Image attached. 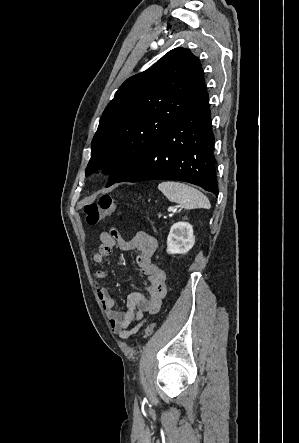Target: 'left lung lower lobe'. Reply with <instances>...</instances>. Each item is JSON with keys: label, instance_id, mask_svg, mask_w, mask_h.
I'll list each match as a JSON object with an SVG mask.
<instances>
[{"label": "left lung lower lobe", "instance_id": "left-lung-lower-lobe-1", "mask_svg": "<svg viewBox=\"0 0 299 443\" xmlns=\"http://www.w3.org/2000/svg\"><path fill=\"white\" fill-rule=\"evenodd\" d=\"M214 136L207 92L183 114L118 182L171 179L218 195Z\"/></svg>", "mask_w": 299, "mask_h": 443}]
</instances>
